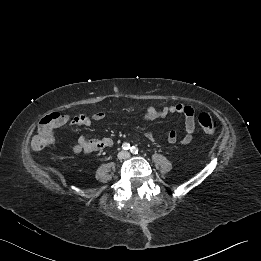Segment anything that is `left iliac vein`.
<instances>
[{
  "mask_svg": "<svg viewBox=\"0 0 261 261\" xmlns=\"http://www.w3.org/2000/svg\"><path fill=\"white\" fill-rule=\"evenodd\" d=\"M126 156H130V154H129V153H126Z\"/></svg>",
  "mask_w": 261,
  "mask_h": 261,
  "instance_id": "4c4485c4",
  "label": "left iliac vein"
}]
</instances>
